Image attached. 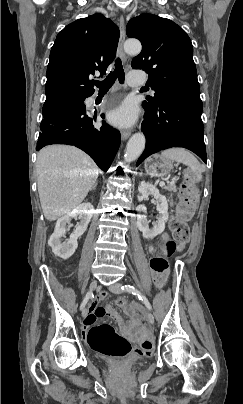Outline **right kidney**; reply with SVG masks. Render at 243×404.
<instances>
[{"label": "right kidney", "instance_id": "ca27d5eb", "mask_svg": "<svg viewBox=\"0 0 243 404\" xmlns=\"http://www.w3.org/2000/svg\"><path fill=\"white\" fill-rule=\"evenodd\" d=\"M93 208L91 204H81L77 206L72 212H68L66 216H62L56 222L55 230L48 240V246L52 248L53 254L59 256L62 260H68L75 250L78 248V238L84 234L88 228V224L92 218ZM71 218H77L78 222L74 232L70 234L69 240L62 242L61 238H64L67 224H70Z\"/></svg>", "mask_w": 243, "mask_h": 404}]
</instances>
